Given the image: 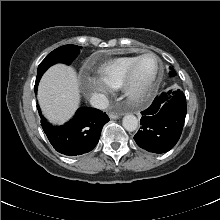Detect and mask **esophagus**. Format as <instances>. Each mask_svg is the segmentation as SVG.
I'll return each instance as SVG.
<instances>
[{
	"instance_id": "34e87169",
	"label": "esophagus",
	"mask_w": 220,
	"mask_h": 220,
	"mask_svg": "<svg viewBox=\"0 0 220 220\" xmlns=\"http://www.w3.org/2000/svg\"><path fill=\"white\" fill-rule=\"evenodd\" d=\"M121 116V114L109 112L110 119H118Z\"/></svg>"
}]
</instances>
